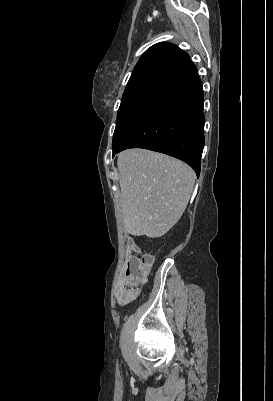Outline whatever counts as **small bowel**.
I'll list each match as a JSON object with an SVG mask.
<instances>
[{
    "label": "small bowel",
    "instance_id": "obj_1",
    "mask_svg": "<svg viewBox=\"0 0 273 401\" xmlns=\"http://www.w3.org/2000/svg\"><path fill=\"white\" fill-rule=\"evenodd\" d=\"M147 280H141V284ZM141 293L139 290H121L117 298L119 304H139L141 302Z\"/></svg>",
    "mask_w": 273,
    "mask_h": 401
}]
</instances>
